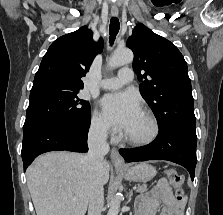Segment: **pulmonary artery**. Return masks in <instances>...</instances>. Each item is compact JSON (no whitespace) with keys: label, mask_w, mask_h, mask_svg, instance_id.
I'll return each instance as SVG.
<instances>
[{"label":"pulmonary artery","mask_w":223,"mask_h":215,"mask_svg":"<svg viewBox=\"0 0 223 215\" xmlns=\"http://www.w3.org/2000/svg\"><path fill=\"white\" fill-rule=\"evenodd\" d=\"M132 80V69H119L116 75L101 80L99 86L100 88L107 90L118 89Z\"/></svg>","instance_id":"obj_1"}]
</instances>
